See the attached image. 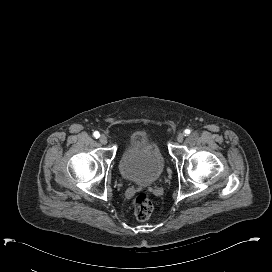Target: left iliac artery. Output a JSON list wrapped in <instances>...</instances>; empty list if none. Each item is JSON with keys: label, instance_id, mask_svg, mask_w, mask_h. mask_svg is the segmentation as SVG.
I'll return each mask as SVG.
<instances>
[{"label": "left iliac artery", "instance_id": "left-iliac-artery-1", "mask_svg": "<svg viewBox=\"0 0 272 272\" xmlns=\"http://www.w3.org/2000/svg\"><path fill=\"white\" fill-rule=\"evenodd\" d=\"M184 132L186 135H188V134H190L191 131L189 129H186Z\"/></svg>", "mask_w": 272, "mask_h": 272}]
</instances>
